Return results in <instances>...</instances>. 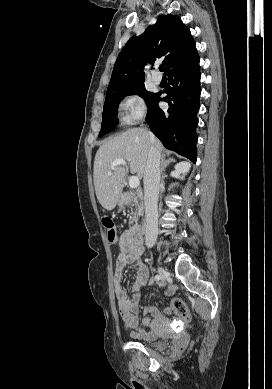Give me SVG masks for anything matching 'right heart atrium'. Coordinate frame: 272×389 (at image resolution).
I'll list each match as a JSON object with an SVG mask.
<instances>
[{"mask_svg":"<svg viewBox=\"0 0 272 389\" xmlns=\"http://www.w3.org/2000/svg\"><path fill=\"white\" fill-rule=\"evenodd\" d=\"M121 119L126 124H134L141 120L146 113V105L139 94L126 95L119 104Z\"/></svg>","mask_w":272,"mask_h":389,"instance_id":"d8ad5b80","label":"right heart atrium"}]
</instances>
